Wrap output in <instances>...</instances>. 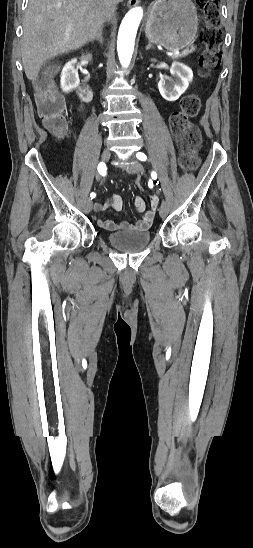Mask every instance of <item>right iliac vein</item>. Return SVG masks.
<instances>
[{
  "mask_svg": "<svg viewBox=\"0 0 253 548\" xmlns=\"http://www.w3.org/2000/svg\"><path fill=\"white\" fill-rule=\"evenodd\" d=\"M110 156H111V151L109 148H106L102 152L101 159L103 162H106L109 160ZM92 207H93V202L90 199H88L86 202V211L90 212L92 210Z\"/></svg>",
  "mask_w": 253,
  "mask_h": 548,
  "instance_id": "63e3f726",
  "label": "right iliac vein"
}]
</instances>
